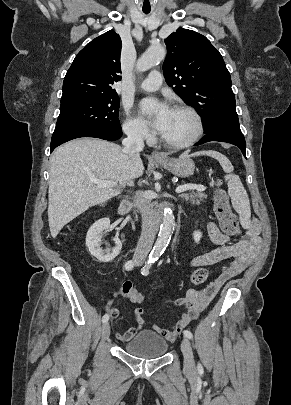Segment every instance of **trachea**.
I'll return each instance as SVG.
<instances>
[{
    "label": "trachea",
    "mask_w": 291,
    "mask_h": 405,
    "mask_svg": "<svg viewBox=\"0 0 291 405\" xmlns=\"http://www.w3.org/2000/svg\"><path fill=\"white\" fill-rule=\"evenodd\" d=\"M145 14H148L149 13V11H143Z\"/></svg>",
    "instance_id": "trachea-1"
}]
</instances>
